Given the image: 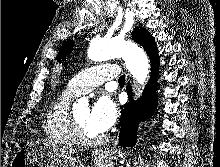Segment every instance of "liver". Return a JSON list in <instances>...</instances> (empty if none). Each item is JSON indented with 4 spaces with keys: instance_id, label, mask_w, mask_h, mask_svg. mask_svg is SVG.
<instances>
[{
    "instance_id": "6515ba94",
    "label": "liver",
    "mask_w": 220,
    "mask_h": 167,
    "mask_svg": "<svg viewBox=\"0 0 220 167\" xmlns=\"http://www.w3.org/2000/svg\"><path fill=\"white\" fill-rule=\"evenodd\" d=\"M33 144H38V145H43L45 147H49L55 152V154H57L60 157L71 156L76 152V150L73 148L57 146L55 145L54 142L47 140V139L38 140L34 142Z\"/></svg>"
}]
</instances>
